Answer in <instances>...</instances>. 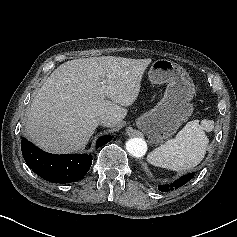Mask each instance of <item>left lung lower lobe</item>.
<instances>
[{"label": "left lung lower lobe", "instance_id": "obj_1", "mask_svg": "<svg viewBox=\"0 0 237 237\" xmlns=\"http://www.w3.org/2000/svg\"><path fill=\"white\" fill-rule=\"evenodd\" d=\"M193 177H194V173H189L187 175L180 177L178 180H176L172 184L161 185L160 187H158V189L162 192H167L169 190L177 189L180 186L189 182Z\"/></svg>", "mask_w": 237, "mask_h": 237}]
</instances>
